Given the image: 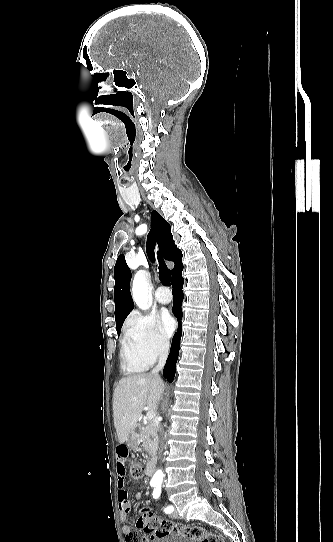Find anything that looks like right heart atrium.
<instances>
[{
    "instance_id": "right-heart-atrium-1",
    "label": "right heart atrium",
    "mask_w": 333,
    "mask_h": 542,
    "mask_svg": "<svg viewBox=\"0 0 333 542\" xmlns=\"http://www.w3.org/2000/svg\"><path fill=\"white\" fill-rule=\"evenodd\" d=\"M124 338L153 358L164 357L170 349V337L160 321L140 313L133 315L126 324Z\"/></svg>"
}]
</instances>
